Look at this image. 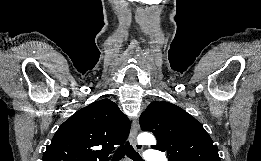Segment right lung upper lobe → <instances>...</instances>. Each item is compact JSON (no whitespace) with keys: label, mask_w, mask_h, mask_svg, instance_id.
Returning <instances> with one entry per match:
<instances>
[{"label":"right lung upper lobe","mask_w":261,"mask_h":161,"mask_svg":"<svg viewBox=\"0 0 261 161\" xmlns=\"http://www.w3.org/2000/svg\"><path fill=\"white\" fill-rule=\"evenodd\" d=\"M129 130L130 121L116 103L95 101L61 124L43 161H108V154L124 143Z\"/></svg>","instance_id":"obj_1"}]
</instances>
